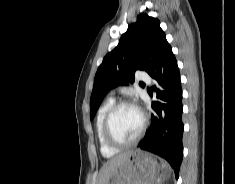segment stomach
<instances>
[{
    "label": "stomach",
    "mask_w": 235,
    "mask_h": 184,
    "mask_svg": "<svg viewBox=\"0 0 235 184\" xmlns=\"http://www.w3.org/2000/svg\"><path fill=\"white\" fill-rule=\"evenodd\" d=\"M169 176V168L160 160L145 154L132 152L122 166L115 168L107 184H162Z\"/></svg>",
    "instance_id": "stomach-1"
}]
</instances>
